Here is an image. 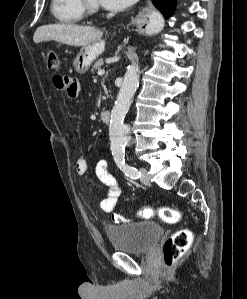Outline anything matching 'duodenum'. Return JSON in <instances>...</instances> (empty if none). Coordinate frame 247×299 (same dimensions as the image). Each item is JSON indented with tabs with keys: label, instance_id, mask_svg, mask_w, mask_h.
Segmentation results:
<instances>
[{
	"label": "duodenum",
	"instance_id": "duodenum-1",
	"mask_svg": "<svg viewBox=\"0 0 247 299\" xmlns=\"http://www.w3.org/2000/svg\"><path fill=\"white\" fill-rule=\"evenodd\" d=\"M100 118L102 120L103 123L105 124H109L110 120H111V113L110 111H102L100 114Z\"/></svg>",
	"mask_w": 247,
	"mask_h": 299
}]
</instances>
